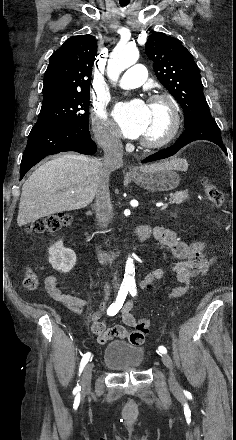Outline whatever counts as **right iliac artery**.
<instances>
[{"mask_svg":"<svg viewBox=\"0 0 236 440\" xmlns=\"http://www.w3.org/2000/svg\"><path fill=\"white\" fill-rule=\"evenodd\" d=\"M129 286L127 285H121L119 291H118V295L116 298V301L113 302L109 308L107 309V315L109 316H114L118 313V311L122 308L123 303L126 299L127 293L129 291ZM91 357V353L87 352L86 354H84L81 362H80V368H79V375L82 373L83 368L85 367V365L87 364V362L89 361ZM81 391V386L79 384H77V386L74 388V392H80Z\"/></svg>","mask_w":236,"mask_h":440,"instance_id":"1","label":"right iliac artery"}]
</instances>
